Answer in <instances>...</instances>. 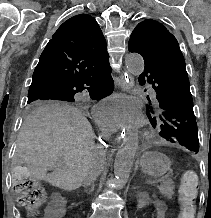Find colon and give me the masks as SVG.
<instances>
[{"mask_svg":"<svg viewBox=\"0 0 211 218\" xmlns=\"http://www.w3.org/2000/svg\"><path fill=\"white\" fill-rule=\"evenodd\" d=\"M13 185L18 194L21 207L34 214L46 198L43 186L31 174L25 164L18 165L13 171ZM198 193V176L195 171L187 170L182 176L179 190L181 212L178 218L195 217V200Z\"/></svg>","mask_w":211,"mask_h":218,"instance_id":"obj_1","label":"colon"}]
</instances>
